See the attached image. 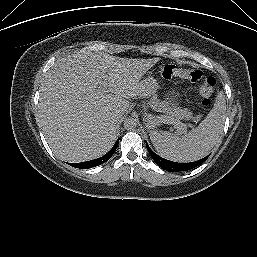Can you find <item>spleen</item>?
I'll list each match as a JSON object with an SVG mask.
<instances>
[{
  "instance_id": "obj_1",
  "label": "spleen",
  "mask_w": 257,
  "mask_h": 257,
  "mask_svg": "<svg viewBox=\"0 0 257 257\" xmlns=\"http://www.w3.org/2000/svg\"><path fill=\"white\" fill-rule=\"evenodd\" d=\"M226 101L220 92L212 110L193 130L184 135L151 131L150 139L162 157L175 162H192L207 156L219 141L225 122Z\"/></svg>"
}]
</instances>
